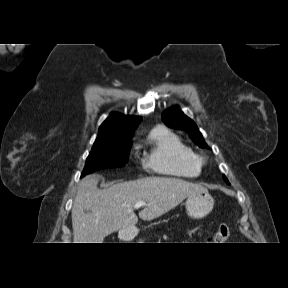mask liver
Instances as JSON below:
<instances>
[{
	"instance_id": "liver-1",
	"label": "liver",
	"mask_w": 288,
	"mask_h": 288,
	"mask_svg": "<svg viewBox=\"0 0 288 288\" xmlns=\"http://www.w3.org/2000/svg\"><path fill=\"white\" fill-rule=\"evenodd\" d=\"M98 177L83 178L72 207L74 243H103L109 234L135 230L137 202H146L139 212L151 221L178 206L188 196L203 190L201 185L173 177H146L98 189Z\"/></svg>"
}]
</instances>
